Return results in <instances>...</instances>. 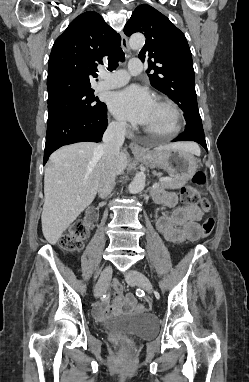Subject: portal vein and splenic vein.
<instances>
[{
    "label": "portal vein and splenic vein",
    "mask_w": 249,
    "mask_h": 382,
    "mask_svg": "<svg viewBox=\"0 0 249 382\" xmlns=\"http://www.w3.org/2000/svg\"><path fill=\"white\" fill-rule=\"evenodd\" d=\"M167 180H169V178H167V177H162V178L159 179L160 182L167 181ZM158 187H159L158 183H155L153 185V188H158Z\"/></svg>",
    "instance_id": "18ae733b"
}]
</instances>
